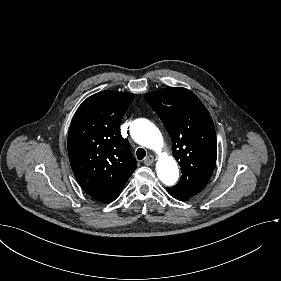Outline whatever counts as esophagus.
I'll return each instance as SVG.
<instances>
[{"label": "esophagus", "instance_id": "1", "mask_svg": "<svg viewBox=\"0 0 281 281\" xmlns=\"http://www.w3.org/2000/svg\"><path fill=\"white\" fill-rule=\"evenodd\" d=\"M154 162V157L152 155H149L145 160H144V164L149 166Z\"/></svg>", "mask_w": 281, "mask_h": 281}]
</instances>
